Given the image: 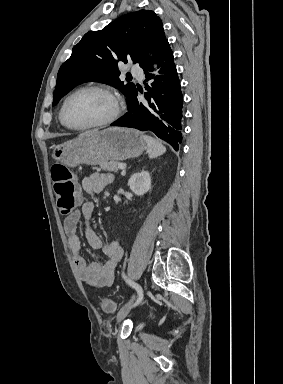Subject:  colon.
<instances>
[{"instance_id": "1", "label": "colon", "mask_w": 283, "mask_h": 384, "mask_svg": "<svg viewBox=\"0 0 283 384\" xmlns=\"http://www.w3.org/2000/svg\"><path fill=\"white\" fill-rule=\"evenodd\" d=\"M51 175L58 209L62 214H70L78 203V191L73 175L70 170L59 163L51 167ZM101 307L106 313H112L115 310V304L109 298L102 299Z\"/></svg>"}]
</instances>
